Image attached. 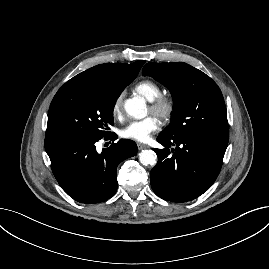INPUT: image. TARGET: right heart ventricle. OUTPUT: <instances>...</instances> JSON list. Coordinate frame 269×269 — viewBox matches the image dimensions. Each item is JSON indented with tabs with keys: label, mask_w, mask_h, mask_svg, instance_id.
I'll list each match as a JSON object with an SVG mask.
<instances>
[{
	"label": "right heart ventricle",
	"mask_w": 269,
	"mask_h": 269,
	"mask_svg": "<svg viewBox=\"0 0 269 269\" xmlns=\"http://www.w3.org/2000/svg\"><path fill=\"white\" fill-rule=\"evenodd\" d=\"M133 90L148 101L154 100L161 94L159 85L148 79L138 81Z\"/></svg>",
	"instance_id": "right-heart-ventricle-1"
}]
</instances>
